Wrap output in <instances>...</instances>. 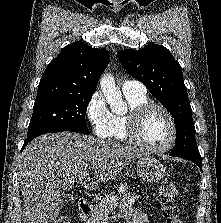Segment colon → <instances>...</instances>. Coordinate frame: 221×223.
Masks as SVG:
<instances>
[{
	"label": "colon",
	"mask_w": 221,
	"mask_h": 223,
	"mask_svg": "<svg viewBox=\"0 0 221 223\" xmlns=\"http://www.w3.org/2000/svg\"><path fill=\"white\" fill-rule=\"evenodd\" d=\"M158 195L159 200L164 205L163 217L165 223H181L179 218V210L173 204L177 196V189L174 182L170 178H165L161 181ZM57 223H71V221L69 217L62 216L58 219Z\"/></svg>",
	"instance_id": "obj_1"
}]
</instances>
